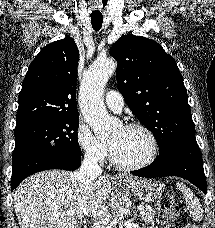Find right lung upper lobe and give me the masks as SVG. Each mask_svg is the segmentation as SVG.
Here are the masks:
<instances>
[{
	"mask_svg": "<svg viewBox=\"0 0 215 228\" xmlns=\"http://www.w3.org/2000/svg\"><path fill=\"white\" fill-rule=\"evenodd\" d=\"M79 51L71 37L45 46L30 64L19 95L16 124L39 118L78 116Z\"/></svg>",
	"mask_w": 215,
	"mask_h": 228,
	"instance_id": "cb5924a9",
	"label": "right lung upper lobe"
}]
</instances>
